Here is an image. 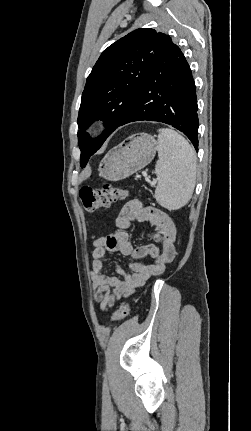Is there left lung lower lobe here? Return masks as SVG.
Here are the masks:
<instances>
[{
  "label": "left lung lower lobe",
  "mask_w": 251,
  "mask_h": 431,
  "mask_svg": "<svg viewBox=\"0 0 251 431\" xmlns=\"http://www.w3.org/2000/svg\"><path fill=\"white\" fill-rule=\"evenodd\" d=\"M197 110L191 69L169 37L162 44L144 85L119 126L142 120L163 122L183 132L198 150Z\"/></svg>",
  "instance_id": "left-lung-lower-lobe-1"
}]
</instances>
